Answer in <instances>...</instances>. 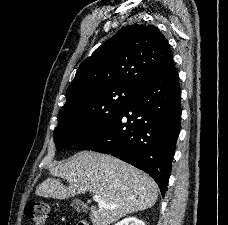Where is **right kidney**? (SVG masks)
I'll use <instances>...</instances> for the list:
<instances>
[{
    "mask_svg": "<svg viewBox=\"0 0 228 225\" xmlns=\"http://www.w3.org/2000/svg\"><path fill=\"white\" fill-rule=\"evenodd\" d=\"M117 225H145V223L137 219V217H126L123 221H119Z\"/></svg>",
    "mask_w": 228,
    "mask_h": 225,
    "instance_id": "obj_1",
    "label": "right kidney"
}]
</instances>
